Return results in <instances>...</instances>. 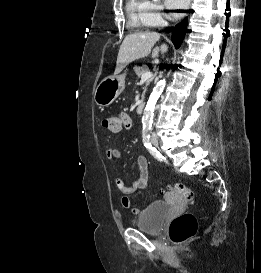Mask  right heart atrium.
<instances>
[{"instance_id": "obj_1", "label": "right heart atrium", "mask_w": 261, "mask_h": 273, "mask_svg": "<svg viewBox=\"0 0 261 273\" xmlns=\"http://www.w3.org/2000/svg\"><path fill=\"white\" fill-rule=\"evenodd\" d=\"M150 16L154 26H160L166 21V14L163 12V8L159 4L150 3Z\"/></svg>"}]
</instances>
